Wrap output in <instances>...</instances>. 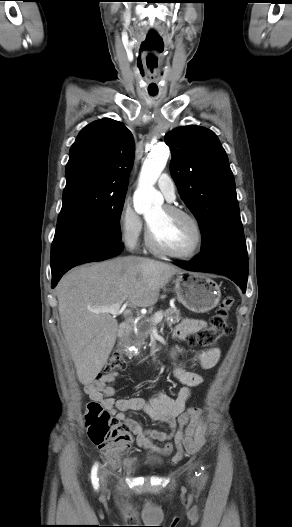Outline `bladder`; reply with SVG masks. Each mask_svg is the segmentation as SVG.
Segmentation results:
<instances>
[{"label":"bladder","mask_w":292,"mask_h":527,"mask_svg":"<svg viewBox=\"0 0 292 527\" xmlns=\"http://www.w3.org/2000/svg\"><path fill=\"white\" fill-rule=\"evenodd\" d=\"M147 463H148L149 465H151V466H157V465H159L161 462H160V460H159L157 457H155V456H149V457L147 458Z\"/></svg>","instance_id":"1"}]
</instances>
